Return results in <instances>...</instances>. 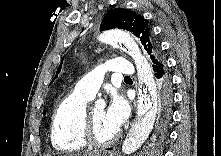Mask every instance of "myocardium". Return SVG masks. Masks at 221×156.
Returning a JSON list of instances; mask_svg holds the SVG:
<instances>
[{"label":"myocardium","instance_id":"f54148a6","mask_svg":"<svg viewBox=\"0 0 221 156\" xmlns=\"http://www.w3.org/2000/svg\"><path fill=\"white\" fill-rule=\"evenodd\" d=\"M81 135L82 139L87 145L95 146V147H108L114 144L118 138L119 134L116 133L113 137L108 140L102 141L98 139L94 132L93 121L90 115V112L85 111L82 126H81Z\"/></svg>","mask_w":221,"mask_h":156}]
</instances>
